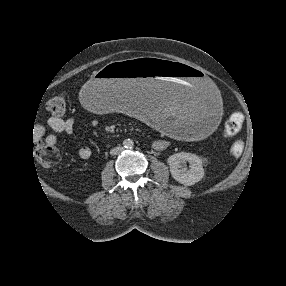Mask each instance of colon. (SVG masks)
Here are the masks:
<instances>
[{
  "mask_svg": "<svg viewBox=\"0 0 286 286\" xmlns=\"http://www.w3.org/2000/svg\"><path fill=\"white\" fill-rule=\"evenodd\" d=\"M47 110L53 115H63L67 109V96L58 94L51 98L46 104ZM244 115L241 112H234L228 119L224 138L230 139L236 136L243 125ZM243 150V144L240 141L235 142L231 147V153L235 156L239 155ZM35 155L43 166H51L58 158V151L53 143L45 139H38L34 144Z\"/></svg>",
  "mask_w": 286,
  "mask_h": 286,
  "instance_id": "colon-1",
  "label": "colon"
}]
</instances>
